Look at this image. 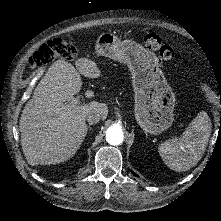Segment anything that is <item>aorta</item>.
Here are the masks:
<instances>
[{
	"label": "aorta",
	"instance_id": "762f6f07",
	"mask_svg": "<svg viewBox=\"0 0 221 221\" xmlns=\"http://www.w3.org/2000/svg\"><path fill=\"white\" fill-rule=\"evenodd\" d=\"M124 140V133L119 125L110 126L106 131V141L111 145H119Z\"/></svg>",
	"mask_w": 221,
	"mask_h": 221
}]
</instances>
